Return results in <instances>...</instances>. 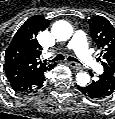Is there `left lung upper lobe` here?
I'll list each match as a JSON object with an SVG mask.
<instances>
[{
  "label": "left lung upper lobe",
  "instance_id": "left-lung-upper-lobe-1",
  "mask_svg": "<svg viewBox=\"0 0 115 119\" xmlns=\"http://www.w3.org/2000/svg\"><path fill=\"white\" fill-rule=\"evenodd\" d=\"M89 25L91 35L101 49L104 73L115 79V28L102 16H93Z\"/></svg>",
  "mask_w": 115,
  "mask_h": 119
}]
</instances>
